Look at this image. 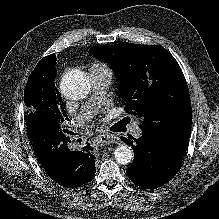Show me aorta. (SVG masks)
I'll return each instance as SVG.
<instances>
[{
    "label": "aorta",
    "mask_w": 219,
    "mask_h": 219,
    "mask_svg": "<svg viewBox=\"0 0 219 219\" xmlns=\"http://www.w3.org/2000/svg\"><path fill=\"white\" fill-rule=\"evenodd\" d=\"M90 81L83 72H78L71 76H66L61 82L63 95L70 100H80L86 97L90 91ZM115 160L123 165L133 161L134 152L128 145H120L114 150Z\"/></svg>",
    "instance_id": "762f6f07"
}]
</instances>
